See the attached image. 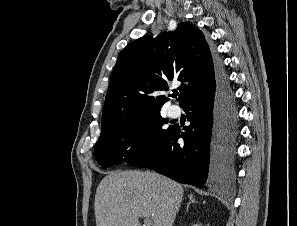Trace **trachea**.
I'll use <instances>...</instances> for the list:
<instances>
[{"label":"trachea","mask_w":297,"mask_h":226,"mask_svg":"<svg viewBox=\"0 0 297 226\" xmlns=\"http://www.w3.org/2000/svg\"><path fill=\"white\" fill-rule=\"evenodd\" d=\"M179 95V93H174L173 97H177Z\"/></svg>","instance_id":"trachea-1"}]
</instances>
